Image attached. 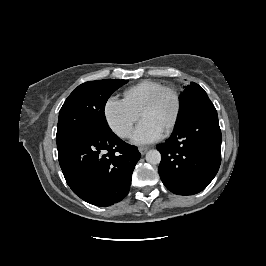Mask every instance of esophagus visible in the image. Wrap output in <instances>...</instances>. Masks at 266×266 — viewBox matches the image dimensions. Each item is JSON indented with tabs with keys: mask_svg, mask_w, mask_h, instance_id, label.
<instances>
[{
	"mask_svg": "<svg viewBox=\"0 0 266 266\" xmlns=\"http://www.w3.org/2000/svg\"><path fill=\"white\" fill-rule=\"evenodd\" d=\"M148 147H145V146H140L139 147V152L144 155L147 151H148Z\"/></svg>",
	"mask_w": 266,
	"mask_h": 266,
	"instance_id": "1",
	"label": "esophagus"
}]
</instances>
